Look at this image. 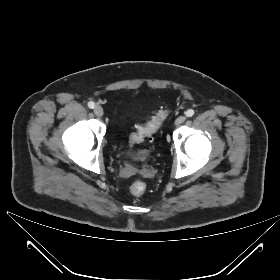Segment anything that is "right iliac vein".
<instances>
[{
    "mask_svg": "<svg viewBox=\"0 0 280 280\" xmlns=\"http://www.w3.org/2000/svg\"><path fill=\"white\" fill-rule=\"evenodd\" d=\"M94 113L96 116L98 117H102L103 114H104V111H103V108L99 105H97L95 108H94Z\"/></svg>",
    "mask_w": 280,
    "mask_h": 280,
    "instance_id": "right-iliac-vein-1",
    "label": "right iliac vein"
}]
</instances>
